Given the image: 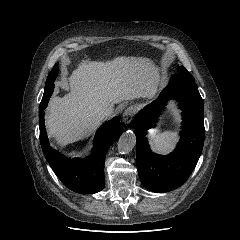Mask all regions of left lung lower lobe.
<instances>
[{"mask_svg": "<svg viewBox=\"0 0 240 240\" xmlns=\"http://www.w3.org/2000/svg\"><path fill=\"white\" fill-rule=\"evenodd\" d=\"M169 99H176L182 109L181 138L169 155H158L150 150L145 132L155 126L156 119L153 118L159 116ZM133 128L142 184L159 193L183 185L199 160L205 137L203 100L195 80L173 75L158 99L137 114Z\"/></svg>", "mask_w": 240, "mask_h": 240, "instance_id": "1", "label": "left lung lower lobe"}]
</instances>
